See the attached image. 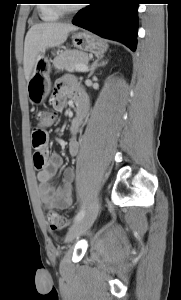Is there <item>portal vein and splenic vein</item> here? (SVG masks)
<instances>
[{"label":"portal vein and splenic vein","instance_id":"portal-vein-and-splenic-vein-1","mask_svg":"<svg viewBox=\"0 0 181 300\" xmlns=\"http://www.w3.org/2000/svg\"><path fill=\"white\" fill-rule=\"evenodd\" d=\"M75 69H76V71H79V72H85L88 69V67H87V65L78 64L75 66Z\"/></svg>","mask_w":181,"mask_h":300}]
</instances>
